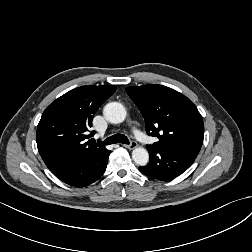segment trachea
<instances>
[{
    "instance_id": "1",
    "label": "trachea",
    "mask_w": 252,
    "mask_h": 252,
    "mask_svg": "<svg viewBox=\"0 0 252 252\" xmlns=\"http://www.w3.org/2000/svg\"><path fill=\"white\" fill-rule=\"evenodd\" d=\"M104 145L122 143V144H129L128 138L123 134H115L113 136L108 137L104 142Z\"/></svg>"
}]
</instances>
